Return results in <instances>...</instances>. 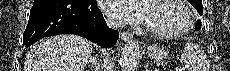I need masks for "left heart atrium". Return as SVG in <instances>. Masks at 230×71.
Here are the masks:
<instances>
[{
	"mask_svg": "<svg viewBox=\"0 0 230 71\" xmlns=\"http://www.w3.org/2000/svg\"><path fill=\"white\" fill-rule=\"evenodd\" d=\"M146 1L104 0L103 8L111 16L130 24L147 22Z\"/></svg>",
	"mask_w": 230,
	"mask_h": 71,
	"instance_id": "left-heart-atrium-1",
	"label": "left heart atrium"
}]
</instances>
